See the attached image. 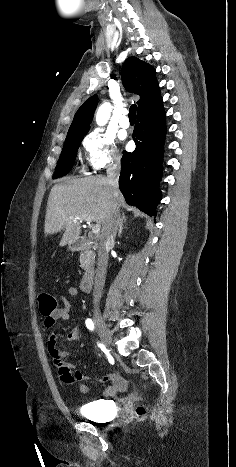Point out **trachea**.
Returning <instances> with one entry per match:
<instances>
[{"label":"trachea","instance_id":"1","mask_svg":"<svg viewBox=\"0 0 236 467\" xmlns=\"http://www.w3.org/2000/svg\"><path fill=\"white\" fill-rule=\"evenodd\" d=\"M136 105H131L130 111H129V119H136Z\"/></svg>","mask_w":236,"mask_h":467}]
</instances>
